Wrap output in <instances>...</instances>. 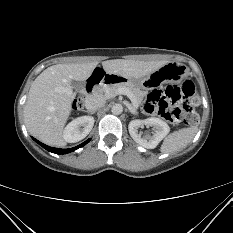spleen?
<instances>
[{"instance_id": "obj_1", "label": "spleen", "mask_w": 233, "mask_h": 233, "mask_svg": "<svg viewBox=\"0 0 233 233\" xmlns=\"http://www.w3.org/2000/svg\"><path fill=\"white\" fill-rule=\"evenodd\" d=\"M197 127L183 128L171 133L161 145L162 153H172L184 149L195 137Z\"/></svg>"}]
</instances>
